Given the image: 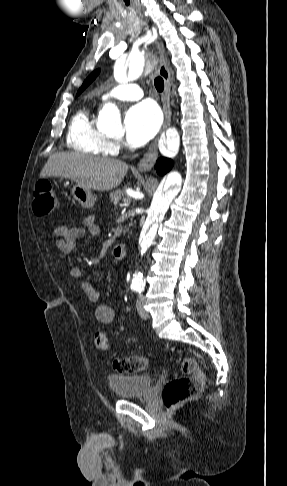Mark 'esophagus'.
Segmentation results:
<instances>
[{"label":"esophagus","mask_w":287,"mask_h":486,"mask_svg":"<svg viewBox=\"0 0 287 486\" xmlns=\"http://www.w3.org/2000/svg\"><path fill=\"white\" fill-rule=\"evenodd\" d=\"M157 50L159 53V67H158V73L162 77L164 81V93L162 96V105H163V112H164V122L161 128V131L159 135L154 139V141L151 143L149 148L147 149L146 153L142 157V159L139 161L137 165V169L141 172H146L150 171L158 157V148H157V142L159 139V136L165 131V129L169 126L170 121H171V108H170V73L168 69V63H167V56L165 53V50L163 48V45L157 41Z\"/></svg>","instance_id":"1"}]
</instances>
